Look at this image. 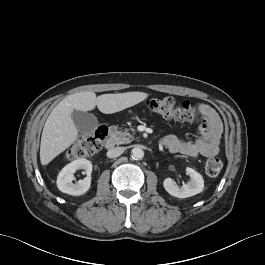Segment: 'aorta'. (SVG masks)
<instances>
[{"instance_id":"762f6f07","label":"aorta","mask_w":265,"mask_h":265,"mask_svg":"<svg viewBox=\"0 0 265 265\" xmlns=\"http://www.w3.org/2000/svg\"><path fill=\"white\" fill-rule=\"evenodd\" d=\"M132 158L140 160L144 157V151L140 147H134L131 151Z\"/></svg>"}]
</instances>
